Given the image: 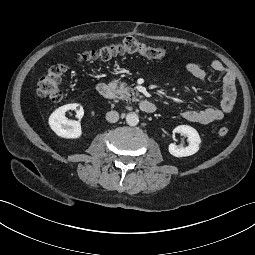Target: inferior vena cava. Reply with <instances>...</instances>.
Masks as SVG:
<instances>
[{"instance_id":"1","label":"inferior vena cava","mask_w":255,"mask_h":255,"mask_svg":"<svg viewBox=\"0 0 255 255\" xmlns=\"http://www.w3.org/2000/svg\"><path fill=\"white\" fill-rule=\"evenodd\" d=\"M106 120L110 123H116L119 120V113L115 110L107 112Z\"/></svg>"}]
</instances>
